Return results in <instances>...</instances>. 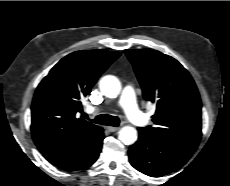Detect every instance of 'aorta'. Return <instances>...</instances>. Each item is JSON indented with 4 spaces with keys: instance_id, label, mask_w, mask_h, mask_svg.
Returning <instances> with one entry per match:
<instances>
[{
    "instance_id": "aorta-1",
    "label": "aorta",
    "mask_w": 230,
    "mask_h": 186,
    "mask_svg": "<svg viewBox=\"0 0 230 186\" xmlns=\"http://www.w3.org/2000/svg\"><path fill=\"white\" fill-rule=\"evenodd\" d=\"M103 95L115 98L121 90V83L117 77L106 75L101 78L99 83ZM119 140L125 145H132L137 140V130L132 126H124L119 130Z\"/></svg>"
}]
</instances>
